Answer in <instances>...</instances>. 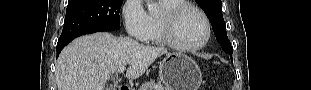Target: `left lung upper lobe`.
<instances>
[{"mask_svg":"<svg viewBox=\"0 0 311 90\" xmlns=\"http://www.w3.org/2000/svg\"><path fill=\"white\" fill-rule=\"evenodd\" d=\"M209 18L214 34L222 49L232 54L231 43L227 37L225 22L222 16L221 0H197ZM232 59V56H231Z\"/></svg>","mask_w":311,"mask_h":90,"instance_id":"5c2ea615","label":"left lung upper lobe"}]
</instances>
